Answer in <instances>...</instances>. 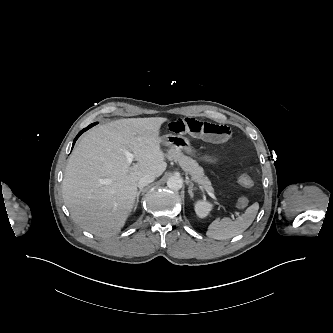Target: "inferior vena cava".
Returning <instances> with one entry per match:
<instances>
[{"label":"inferior vena cava","instance_id":"inferior-vena-cava-1","mask_svg":"<svg viewBox=\"0 0 333 333\" xmlns=\"http://www.w3.org/2000/svg\"><path fill=\"white\" fill-rule=\"evenodd\" d=\"M155 180V176L152 174H145L143 177L140 178L138 182V187L141 189L148 184L152 183Z\"/></svg>","mask_w":333,"mask_h":333}]
</instances>
